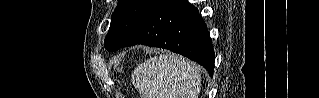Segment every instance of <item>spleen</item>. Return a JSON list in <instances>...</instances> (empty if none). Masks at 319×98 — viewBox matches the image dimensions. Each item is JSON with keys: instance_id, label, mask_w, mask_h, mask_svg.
Listing matches in <instances>:
<instances>
[{"instance_id": "1", "label": "spleen", "mask_w": 319, "mask_h": 98, "mask_svg": "<svg viewBox=\"0 0 319 98\" xmlns=\"http://www.w3.org/2000/svg\"><path fill=\"white\" fill-rule=\"evenodd\" d=\"M132 83L146 98H197L201 73L194 63L169 53L139 64Z\"/></svg>"}]
</instances>
